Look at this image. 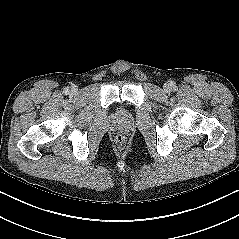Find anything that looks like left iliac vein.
<instances>
[{"label":"left iliac vein","instance_id":"1","mask_svg":"<svg viewBox=\"0 0 239 239\" xmlns=\"http://www.w3.org/2000/svg\"><path fill=\"white\" fill-rule=\"evenodd\" d=\"M165 91H169V88L167 86L165 87Z\"/></svg>","mask_w":239,"mask_h":239}]
</instances>
